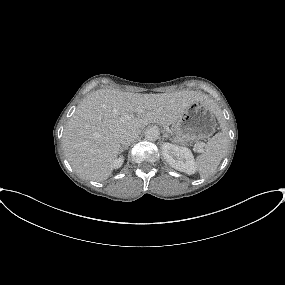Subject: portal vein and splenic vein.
Segmentation results:
<instances>
[{
  "label": "portal vein and splenic vein",
  "instance_id": "obj_1",
  "mask_svg": "<svg viewBox=\"0 0 285 285\" xmlns=\"http://www.w3.org/2000/svg\"><path fill=\"white\" fill-rule=\"evenodd\" d=\"M142 112H143V110H139L138 114H141ZM203 147H204V143L199 144L197 151L201 152Z\"/></svg>",
  "mask_w": 285,
  "mask_h": 285
}]
</instances>
